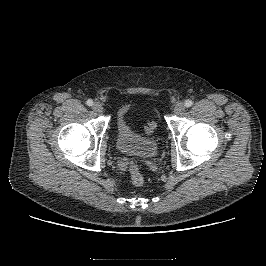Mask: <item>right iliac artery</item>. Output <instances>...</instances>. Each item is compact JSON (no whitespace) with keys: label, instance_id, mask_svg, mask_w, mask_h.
I'll return each instance as SVG.
<instances>
[{"label":"right iliac artery","instance_id":"82829eb1","mask_svg":"<svg viewBox=\"0 0 266 266\" xmlns=\"http://www.w3.org/2000/svg\"><path fill=\"white\" fill-rule=\"evenodd\" d=\"M86 104L88 106H92L93 105V101L91 99H88L87 102H86Z\"/></svg>","mask_w":266,"mask_h":266}]
</instances>
